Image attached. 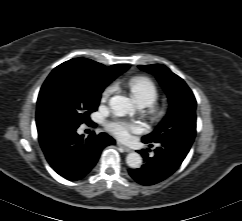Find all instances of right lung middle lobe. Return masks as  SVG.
<instances>
[{"mask_svg":"<svg viewBox=\"0 0 242 221\" xmlns=\"http://www.w3.org/2000/svg\"><path fill=\"white\" fill-rule=\"evenodd\" d=\"M105 86L65 74L49 75L37 100V127L46 124L79 126L97 110Z\"/></svg>","mask_w":242,"mask_h":221,"instance_id":"1","label":"right lung middle lobe"}]
</instances>
